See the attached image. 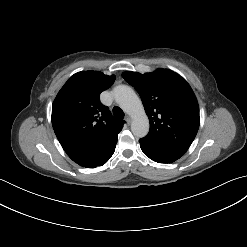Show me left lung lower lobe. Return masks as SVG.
I'll return each mask as SVG.
<instances>
[{"label": "left lung lower lobe", "mask_w": 247, "mask_h": 247, "mask_svg": "<svg viewBox=\"0 0 247 247\" xmlns=\"http://www.w3.org/2000/svg\"><path fill=\"white\" fill-rule=\"evenodd\" d=\"M143 153L158 163H172L186 153V149L157 144L146 138L139 140Z\"/></svg>", "instance_id": "left-lung-lower-lobe-1"}]
</instances>
